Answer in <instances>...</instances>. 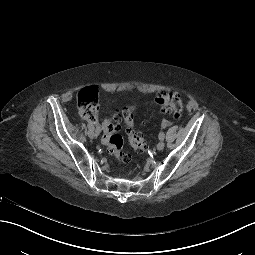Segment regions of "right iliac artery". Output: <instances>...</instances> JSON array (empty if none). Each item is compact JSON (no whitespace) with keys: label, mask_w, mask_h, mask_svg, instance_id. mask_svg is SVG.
Masks as SVG:
<instances>
[{"label":"right iliac artery","mask_w":255,"mask_h":255,"mask_svg":"<svg viewBox=\"0 0 255 255\" xmlns=\"http://www.w3.org/2000/svg\"><path fill=\"white\" fill-rule=\"evenodd\" d=\"M87 126H88L89 129L94 130V126L91 123H88Z\"/></svg>","instance_id":"1"}]
</instances>
